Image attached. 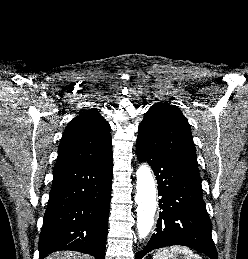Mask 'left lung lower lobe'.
Wrapping results in <instances>:
<instances>
[{
	"instance_id": "1",
	"label": "left lung lower lobe",
	"mask_w": 248,
	"mask_h": 259,
	"mask_svg": "<svg viewBox=\"0 0 248 259\" xmlns=\"http://www.w3.org/2000/svg\"><path fill=\"white\" fill-rule=\"evenodd\" d=\"M136 152L139 161L151 164L161 196L159 207L162 212L156 232L146 247L136 253L135 259H141L154 249L172 245L188 246L217 259L201 181L192 179L167 158L139 143H136Z\"/></svg>"
}]
</instances>
